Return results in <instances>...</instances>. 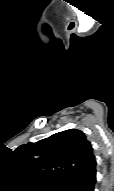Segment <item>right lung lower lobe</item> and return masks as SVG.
<instances>
[{
	"label": "right lung lower lobe",
	"instance_id": "right-lung-lower-lobe-1",
	"mask_svg": "<svg viewBox=\"0 0 114 191\" xmlns=\"http://www.w3.org/2000/svg\"><path fill=\"white\" fill-rule=\"evenodd\" d=\"M96 183V170L87 174L78 176L57 188L56 191H94Z\"/></svg>",
	"mask_w": 114,
	"mask_h": 191
}]
</instances>
